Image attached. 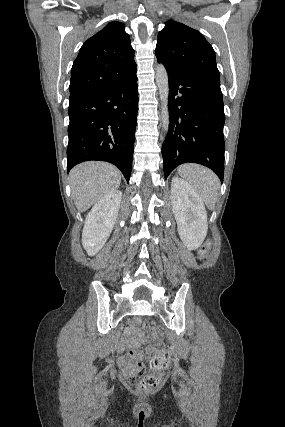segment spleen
<instances>
[{
  "label": "spleen",
  "mask_w": 285,
  "mask_h": 427,
  "mask_svg": "<svg viewBox=\"0 0 285 427\" xmlns=\"http://www.w3.org/2000/svg\"><path fill=\"white\" fill-rule=\"evenodd\" d=\"M178 174L197 192L206 206L213 210L220 187L216 174L198 164H184L178 168Z\"/></svg>",
  "instance_id": "obj_1"
}]
</instances>
